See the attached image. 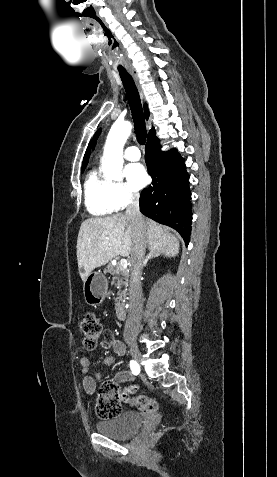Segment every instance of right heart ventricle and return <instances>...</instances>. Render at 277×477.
<instances>
[{
	"instance_id": "1",
	"label": "right heart ventricle",
	"mask_w": 277,
	"mask_h": 477,
	"mask_svg": "<svg viewBox=\"0 0 277 477\" xmlns=\"http://www.w3.org/2000/svg\"><path fill=\"white\" fill-rule=\"evenodd\" d=\"M84 199L88 212L106 216L115 211L111 200V181L96 169H91L84 181Z\"/></svg>"
}]
</instances>
